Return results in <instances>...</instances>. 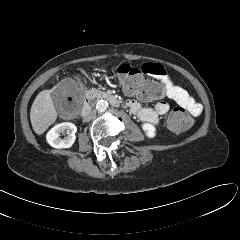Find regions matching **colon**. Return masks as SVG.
Listing matches in <instances>:
<instances>
[{
    "label": "colon",
    "mask_w": 240,
    "mask_h": 240,
    "mask_svg": "<svg viewBox=\"0 0 240 240\" xmlns=\"http://www.w3.org/2000/svg\"><path fill=\"white\" fill-rule=\"evenodd\" d=\"M116 70L121 86L126 93L135 95L144 101L158 100L165 97L166 90L164 85L146 76L140 68L122 64ZM192 123V117L182 107L173 109L167 118V127L173 132L185 131Z\"/></svg>",
    "instance_id": "1"
}]
</instances>
